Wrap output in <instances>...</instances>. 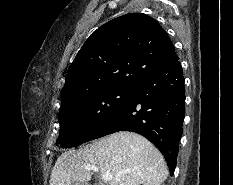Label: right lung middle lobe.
Returning <instances> with one entry per match:
<instances>
[{
    "label": "right lung middle lobe",
    "mask_w": 233,
    "mask_h": 185,
    "mask_svg": "<svg viewBox=\"0 0 233 185\" xmlns=\"http://www.w3.org/2000/svg\"><path fill=\"white\" fill-rule=\"evenodd\" d=\"M128 89H106L78 98L60 108V136L62 148L78 146L125 101Z\"/></svg>",
    "instance_id": "right-lung-middle-lobe-1"
}]
</instances>
